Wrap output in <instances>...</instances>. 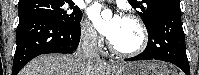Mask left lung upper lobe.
<instances>
[{
	"mask_svg": "<svg viewBox=\"0 0 199 75\" xmlns=\"http://www.w3.org/2000/svg\"><path fill=\"white\" fill-rule=\"evenodd\" d=\"M130 5L136 9L143 20L147 30L151 28L154 21L164 12L177 9L180 10V0H128Z\"/></svg>",
	"mask_w": 199,
	"mask_h": 75,
	"instance_id": "obj_1",
	"label": "left lung upper lobe"
}]
</instances>
